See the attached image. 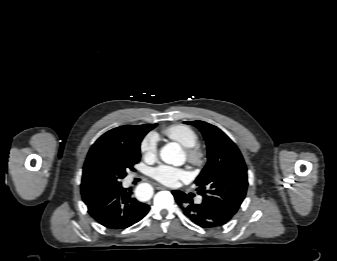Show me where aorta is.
<instances>
[{
	"instance_id": "obj_1",
	"label": "aorta",
	"mask_w": 337,
	"mask_h": 261,
	"mask_svg": "<svg viewBox=\"0 0 337 261\" xmlns=\"http://www.w3.org/2000/svg\"><path fill=\"white\" fill-rule=\"evenodd\" d=\"M163 162L174 166H181L185 162V154L178 143L171 142L160 150ZM136 197L141 201L149 200L153 195V188L148 183H141L135 189Z\"/></svg>"
}]
</instances>
